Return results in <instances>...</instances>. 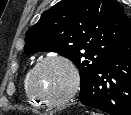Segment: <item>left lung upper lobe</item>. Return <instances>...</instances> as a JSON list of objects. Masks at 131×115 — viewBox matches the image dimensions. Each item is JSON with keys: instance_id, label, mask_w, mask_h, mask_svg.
<instances>
[{"instance_id": "obj_1", "label": "left lung upper lobe", "mask_w": 131, "mask_h": 115, "mask_svg": "<svg viewBox=\"0 0 131 115\" xmlns=\"http://www.w3.org/2000/svg\"><path fill=\"white\" fill-rule=\"evenodd\" d=\"M131 23L116 0H62L42 13L26 33V53L56 52L79 68L82 92Z\"/></svg>"}]
</instances>
